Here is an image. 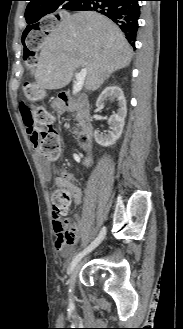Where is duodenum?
I'll return each instance as SVG.
<instances>
[{
    "instance_id": "obj_1",
    "label": "duodenum",
    "mask_w": 183,
    "mask_h": 329,
    "mask_svg": "<svg viewBox=\"0 0 183 329\" xmlns=\"http://www.w3.org/2000/svg\"><path fill=\"white\" fill-rule=\"evenodd\" d=\"M57 99L63 106L71 107L77 111L80 125L86 138V141L82 144V148L87 151L90 148V139L93 134L90 121V104L88 99L84 95L72 97V95L67 92H60Z\"/></svg>"
}]
</instances>
